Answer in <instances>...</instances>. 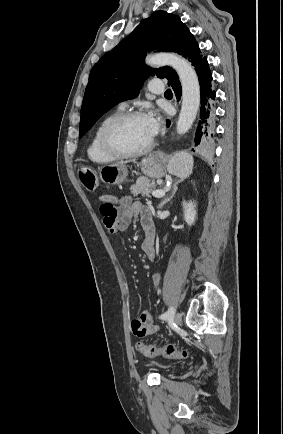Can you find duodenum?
Masks as SVG:
<instances>
[{"mask_svg": "<svg viewBox=\"0 0 283 434\" xmlns=\"http://www.w3.org/2000/svg\"><path fill=\"white\" fill-rule=\"evenodd\" d=\"M145 238L146 239H148V240H150V241H153V239H154V228H153V226H147L146 227V229H145Z\"/></svg>", "mask_w": 283, "mask_h": 434, "instance_id": "1", "label": "duodenum"}]
</instances>
